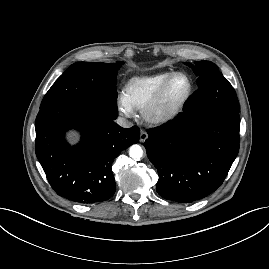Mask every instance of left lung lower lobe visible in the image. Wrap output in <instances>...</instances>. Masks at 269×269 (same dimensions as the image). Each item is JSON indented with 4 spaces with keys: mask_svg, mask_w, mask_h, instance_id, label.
<instances>
[{
    "mask_svg": "<svg viewBox=\"0 0 269 269\" xmlns=\"http://www.w3.org/2000/svg\"><path fill=\"white\" fill-rule=\"evenodd\" d=\"M239 130L236 110L189 118L179 114L148 130L144 146L158 170V194L167 200L189 203L217 190L238 154Z\"/></svg>",
    "mask_w": 269,
    "mask_h": 269,
    "instance_id": "1",
    "label": "left lung lower lobe"
}]
</instances>
